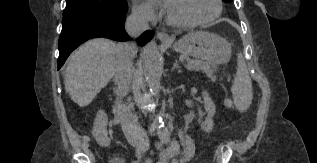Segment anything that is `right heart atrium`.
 I'll return each mask as SVG.
<instances>
[{
	"label": "right heart atrium",
	"mask_w": 317,
	"mask_h": 163,
	"mask_svg": "<svg viewBox=\"0 0 317 163\" xmlns=\"http://www.w3.org/2000/svg\"><path fill=\"white\" fill-rule=\"evenodd\" d=\"M132 13L135 18L144 22H155L159 14L154 7L144 1H135L132 9Z\"/></svg>",
	"instance_id": "1"
}]
</instances>
